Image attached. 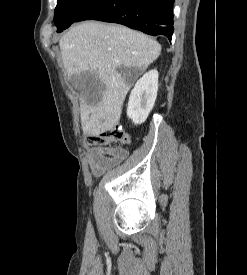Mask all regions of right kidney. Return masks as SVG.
Returning a JSON list of instances; mask_svg holds the SVG:
<instances>
[{
	"label": "right kidney",
	"instance_id": "1",
	"mask_svg": "<svg viewBox=\"0 0 247 275\" xmlns=\"http://www.w3.org/2000/svg\"><path fill=\"white\" fill-rule=\"evenodd\" d=\"M158 91V71L151 70L145 73L131 91L127 116L135 125L145 122L152 110Z\"/></svg>",
	"mask_w": 247,
	"mask_h": 275
}]
</instances>
